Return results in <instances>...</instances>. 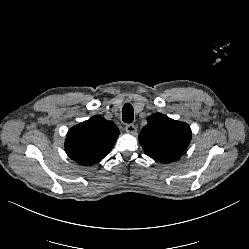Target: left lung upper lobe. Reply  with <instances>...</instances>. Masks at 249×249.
<instances>
[{
    "mask_svg": "<svg viewBox=\"0 0 249 249\" xmlns=\"http://www.w3.org/2000/svg\"><path fill=\"white\" fill-rule=\"evenodd\" d=\"M147 121L138 136L144 153L162 163L180 158L191 141L189 125L161 113L150 115Z\"/></svg>",
    "mask_w": 249,
    "mask_h": 249,
    "instance_id": "1",
    "label": "left lung upper lobe"
}]
</instances>
